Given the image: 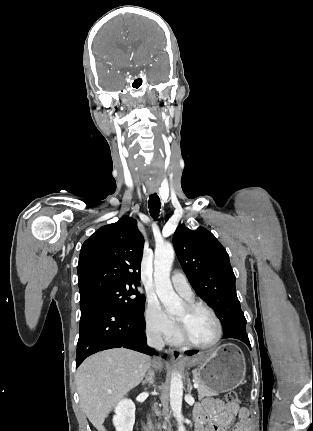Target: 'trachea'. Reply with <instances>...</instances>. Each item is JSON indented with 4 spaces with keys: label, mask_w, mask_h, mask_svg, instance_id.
<instances>
[{
    "label": "trachea",
    "mask_w": 313,
    "mask_h": 431,
    "mask_svg": "<svg viewBox=\"0 0 313 431\" xmlns=\"http://www.w3.org/2000/svg\"><path fill=\"white\" fill-rule=\"evenodd\" d=\"M160 198L154 193L149 196V212L152 218L157 219L160 213Z\"/></svg>",
    "instance_id": "1"
}]
</instances>
